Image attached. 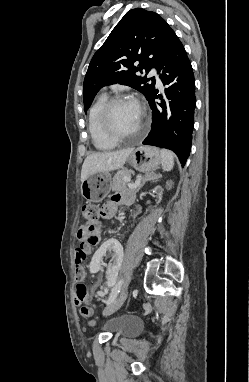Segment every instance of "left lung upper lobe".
<instances>
[{
  "label": "left lung upper lobe",
  "instance_id": "obj_1",
  "mask_svg": "<svg viewBox=\"0 0 249 382\" xmlns=\"http://www.w3.org/2000/svg\"><path fill=\"white\" fill-rule=\"evenodd\" d=\"M177 39L157 13L142 8L128 11L89 64L83 85L85 112L106 85H128L148 98L155 88V78L140 77L136 72L147 74L152 67L160 70Z\"/></svg>",
  "mask_w": 249,
  "mask_h": 382
}]
</instances>
